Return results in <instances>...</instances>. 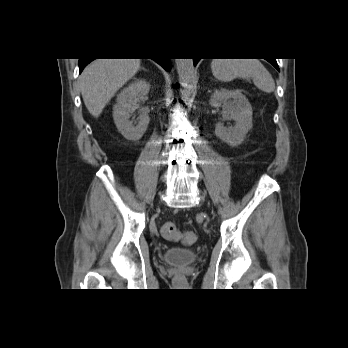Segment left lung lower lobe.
<instances>
[{"label":"left lung lower lobe","mask_w":348,"mask_h":348,"mask_svg":"<svg viewBox=\"0 0 348 348\" xmlns=\"http://www.w3.org/2000/svg\"><path fill=\"white\" fill-rule=\"evenodd\" d=\"M193 60H194V65H196L197 62H198L200 59L195 58V59H193ZM268 61L279 71V67H278V64H277V62H276L275 59H274V60H268Z\"/></svg>","instance_id":"obj_1"}]
</instances>
